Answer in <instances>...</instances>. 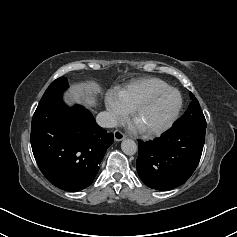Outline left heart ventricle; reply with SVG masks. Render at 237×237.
I'll use <instances>...</instances> for the list:
<instances>
[{
    "label": "left heart ventricle",
    "mask_w": 237,
    "mask_h": 237,
    "mask_svg": "<svg viewBox=\"0 0 237 237\" xmlns=\"http://www.w3.org/2000/svg\"><path fill=\"white\" fill-rule=\"evenodd\" d=\"M178 105V95L169 92L151 103L140 112L136 125L143 128H155L163 125L172 115Z\"/></svg>",
    "instance_id": "1"
}]
</instances>
